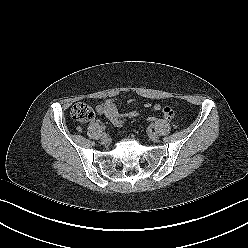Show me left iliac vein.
I'll use <instances>...</instances> for the list:
<instances>
[{
	"instance_id": "obj_1",
	"label": "left iliac vein",
	"mask_w": 248,
	"mask_h": 248,
	"mask_svg": "<svg viewBox=\"0 0 248 248\" xmlns=\"http://www.w3.org/2000/svg\"><path fill=\"white\" fill-rule=\"evenodd\" d=\"M149 139L151 141L156 142V141L159 140V135L157 133H155V132H152V133L149 134Z\"/></svg>"
}]
</instances>
